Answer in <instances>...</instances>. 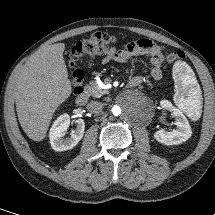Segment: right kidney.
Here are the masks:
<instances>
[{"instance_id": "1", "label": "right kidney", "mask_w": 215, "mask_h": 215, "mask_svg": "<svg viewBox=\"0 0 215 215\" xmlns=\"http://www.w3.org/2000/svg\"><path fill=\"white\" fill-rule=\"evenodd\" d=\"M76 128L68 138H63L67 132L70 124V117L68 114L59 116L53 123L50 132V143L55 151H65L72 149L82 139L85 130V123L83 119H77Z\"/></svg>"}]
</instances>
